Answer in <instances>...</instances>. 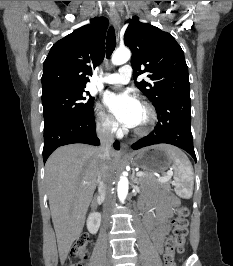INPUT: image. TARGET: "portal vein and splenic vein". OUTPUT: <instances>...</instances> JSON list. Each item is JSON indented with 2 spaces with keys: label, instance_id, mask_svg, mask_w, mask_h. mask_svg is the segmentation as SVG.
Returning <instances> with one entry per match:
<instances>
[{
  "label": "portal vein and splenic vein",
  "instance_id": "1",
  "mask_svg": "<svg viewBox=\"0 0 233 266\" xmlns=\"http://www.w3.org/2000/svg\"><path fill=\"white\" fill-rule=\"evenodd\" d=\"M136 175L138 177H142V176H144V173L139 171V172L136 173ZM172 175H173V173L171 171H169V172H167L166 176L158 177L157 180L160 181V182H167V181H169L171 179ZM87 184H88V182H83V185H87Z\"/></svg>",
  "mask_w": 233,
  "mask_h": 266
}]
</instances>
